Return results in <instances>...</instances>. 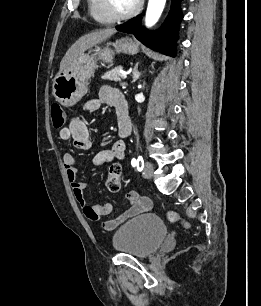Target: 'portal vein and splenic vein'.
Returning a JSON list of instances; mask_svg holds the SVG:
<instances>
[{"instance_id": "obj_1", "label": "portal vein and splenic vein", "mask_w": 261, "mask_h": 306, "mask_svg": "<svg viewBox=\"0 0 261 306\" xmlns=\"http://www.w3.org/2000/svg\"><path fill=\"white\" fill-rule=\"evenodd\" d=\"M121 77H122V79H126V78H127V74L122 73V74H121Z\"/></svg>"}]
</instances>
